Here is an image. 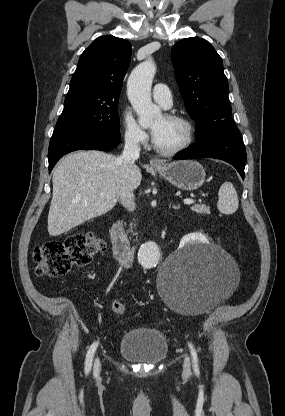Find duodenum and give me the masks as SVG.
Wrapping results in <instances>:
<instances>
[{"mask_svg": "<svg viewBox=\"0 0 285 416\" xmlns=\"http://www.w3.org/2000/svg\"><path fill=\"white\" fill-rule=\"evenodd\" d=\"M110 238L112 242L113 253L124 269L133 266L136 245L130 243L126 233L118 223L112 224L110 228Z\"/></svg>", "mask_w": 285, "mask_h": 416, "instance_id": "1", "label": "duodenum"}]
</instances>
